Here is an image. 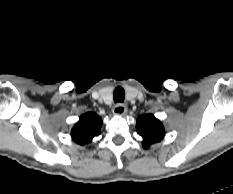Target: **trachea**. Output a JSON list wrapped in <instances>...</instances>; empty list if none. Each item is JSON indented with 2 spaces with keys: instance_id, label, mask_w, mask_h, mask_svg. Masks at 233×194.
<instances>
[{
  "instance_id": "1",
  "label": "trachea",
  "mask_w": 233,
  "mask_h": 194,
  "mask_svg": "<svg viewBox=\"0 0 233 194\" xmlns=\"http://www.w3.org/2000/svg\"><path fill=\"white\" fill-rule=\"evenodd\" d=\"M124 98H125V91L122 87L118 86L115 88L114 92H113V99L115 103L118 102H124Z\"/></svg>"
}]
</instances>
